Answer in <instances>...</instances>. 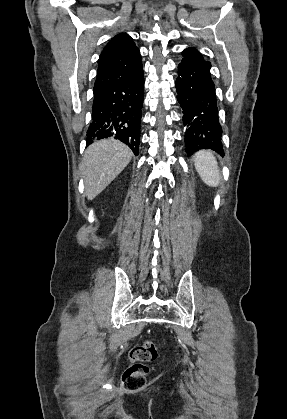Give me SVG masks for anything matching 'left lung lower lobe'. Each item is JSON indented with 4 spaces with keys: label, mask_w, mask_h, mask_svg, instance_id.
<instances>
[{
    "label": "left lung lower lobe",
    "mask_w": 287,
    "mask_h": 419,
    "mask_svg": "<svg viewBox=\"0 0 287 419\" xmlns=\"http://www.w3.org/2000/svg\"><path fill=\"white\" fill-rule=\"evenodd\" d=\"M211 64L202 60L183 58L178 66L176 80L177 100L183 109L186 127L187 155L200 149H212L224 155L222 128L214 83L210 75Z\"/></svg>",
    "instance_id": "left-lung-lower-lobe-1"
}]
</instances>
